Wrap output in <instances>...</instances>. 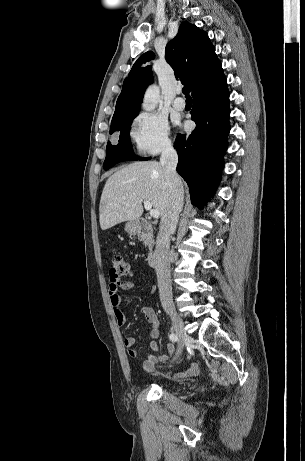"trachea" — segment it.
<instances>
[{
    "label": "trachea",
    "instance_id": "obj_1",
    "mask_svg": "<svg viewBox=\"0 0 305 461\" xmlns=\"http://www.w3.org/2000/svg\"><path fill=\"white\" fill-rule=\"evenodd\" d=\"M182 91H183V94H185V96H186L187 99H191V97H190V95H189L190 89H189L188 86H184L183 89H182Z\"/></svg>",
    "mask_w": 305,
    "mask_h": 461
}]
</instances>
